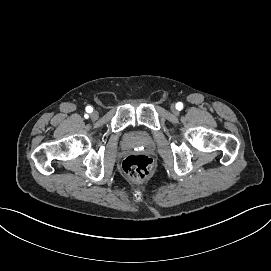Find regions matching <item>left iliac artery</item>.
<instances>
[{"label":"left iliac artery","instance_id":"left-iliac-artery-1","mask_svg":"<svg viewBox=\"0 0 271 271\" xmlns=\"http://www.w3.org/2000/svg\"><path fill=\"white\" fill-rule=\"evenodd\" d=\"M176 108L180 111V110H182L183 109V104L181 103V102H178L177 104H176Z\"/></svg>","mask_w":271,"mask_h":271}]
</instances>
